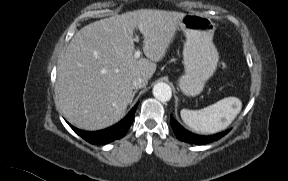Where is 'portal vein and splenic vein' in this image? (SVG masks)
I'll list each match as a JSON object with an SVG mask.
<instances>
[{
    "label": "portal vein and splenic vein",
    "instance_id": "portal-vein-and-splenic-vein-1",
    "mask_svg": "<svg viewBox=\"0 0 288 181\" xmlns=\"http://www.w3.org/2000/svg\"><path fill=\"white\" fill-rule=\"evenodd\" d=\"M140 55H141V51L138 49V50H136L135 53H134V58H135V59H138V58L140 57Z\"/></svg>",
    "mask_w": 288,
    "mask_h": 181
}]
</instances>
